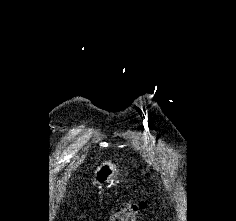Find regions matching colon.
Returning <instances> with one entry per match:
<instances>
[{
    "mask_svg": "<svg viewBox=\"0 0 236 221\" xmlns=\"http://www.w3.org/2000/svg\"><path fill=\"white\" fill-rule=\"evenodd\" d=\"M145 208V202L124 203L109 216L107 221H137L138 215Z\"/></svg>",
    "mask_w": 236,
    "mask_h": 221,
    "instance_id": "colon-1",
    "label": "colon"
}]
</instances>
